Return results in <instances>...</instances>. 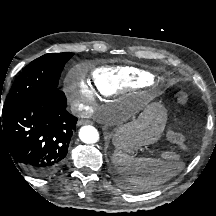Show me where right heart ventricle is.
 I'll list each match as a JSON object with an SVG mask.
<instances>
[{
    "label": "right heart ventricle",
    "mask_w": 216,
    "mask_h": 216,
    "mask_svg": "<svg viewBox=\"0 0 216 216\" xmlns=\"http://www.w3.org/2000/svg\"><path fill=\"white\" fill-rule=\"evenodd\" d=\"M148 76L129 66H102L91 72L94 87L103 96L136 90L146 84Z\"/></svg>",
    "instance_id": "obj_1"
}]
</instances>
